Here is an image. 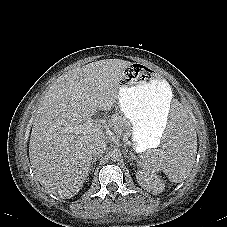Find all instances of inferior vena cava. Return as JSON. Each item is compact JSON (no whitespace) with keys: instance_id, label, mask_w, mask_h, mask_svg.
Here are the masks:
<instances>
[{"instance_id":"obj_1","label":"inferior vena cava","mask_w":227,"mask_h":227,"mask_svg":"<svg viewBox=\"0 0 227 227\" xmlns=\"http://www.w3.org/2000/svg\"><path fill=\"white\" fill-rule=\"evenodd\" d=\"M106 150V143L104 140H99L92 145L91 153L94 157H101Z\"/></svg>"}]
</instances>
